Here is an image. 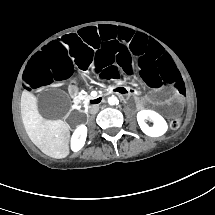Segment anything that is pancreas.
Instances as JSON below:
<instances>
[{"label": "pancreas", "mask_w": 215, "mask_h": 215, "mask_svg": "<svg viewBox=\"0 0 215 215\" xmlns=\"http://www.w3.org/2000/svg\"><path fill=\"white\" fill-rule=\"evenodd\" d=\"M92 97L90 95H85L84 96V102H87L88 100H90Z\"/></svg>", "instance_id": "cf45deb5"}]
</instances>
